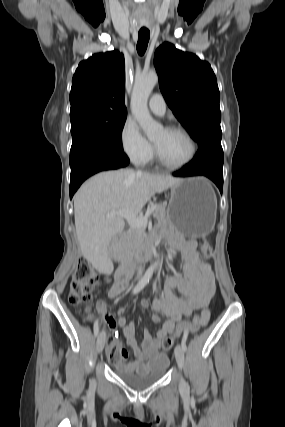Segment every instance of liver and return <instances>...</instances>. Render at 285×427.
Segmentation results:
<instances>
[{
	"label": "liver",
	"mask_w": 285,
	"mask_h": 427,
	"mask_svg": "<svg viewBox=\"0 0 285 427\" xmlns=\"http://www.w3.org/2000/svg\"><path fill=\"white\" fill-rule=\"evenodd\" d=\"M180 180L129 169L101 172L87 180L74 196L76 234L86 260L96 269L109 264V244L123 231L125 222L107 213L120 209L138 213L155 193Z\"/></svg>",
	"instance_id": "1"
}]
</instances>
